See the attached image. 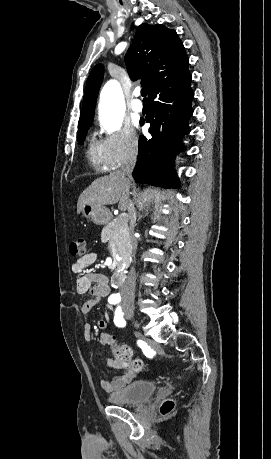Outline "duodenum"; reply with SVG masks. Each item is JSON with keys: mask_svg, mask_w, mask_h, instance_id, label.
Returning <instances> with one entry per match:
<instances>
[{"mask_svg": "<svg viewBox=\"0 0 271 459\" xmlns=\"http://www.w3.org/2000/svg\"><path fill=\"white\" fill-rule=\"evenodd\" d=\"M126 275L123 271H116L112 275L111 281L116 286H121L125 282Z\"/></svg>", "mask_w": 271, "mask_h": 459, "instance_id": "410a0bca", "label": "duodenum"}]
</instances>
